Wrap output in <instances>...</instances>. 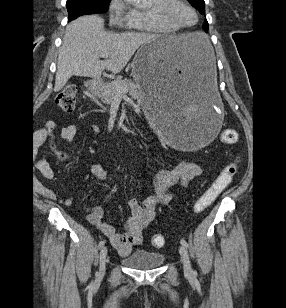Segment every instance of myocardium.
<instances>
[{"label":"myocardium","instance_id":"f54148a6","mask_svg":"<svg viewBox=\"0 0 286 308\" xmlns=\"http://www.w3.org/2000/svg\"><path fill=\"white\" fill-rule=\"evenodd\" d=\"M176 4H182L189 8L196 16V20L191 25L181 24L174 16V6ZM154 13L162 20L172 24L179 29H188L194 27L199 21V15L197 10L186 0H162L161 3L153 6Z\"/></svg>","mask_w":286,"mask_h":308}]
</instances>
